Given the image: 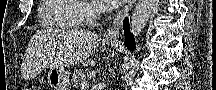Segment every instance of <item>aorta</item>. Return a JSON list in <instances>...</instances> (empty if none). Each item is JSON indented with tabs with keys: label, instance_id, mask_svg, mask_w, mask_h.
<instances>
[{
	"label": "aorta",
	"instance_id": "762f6f07",
	"mask_svg": "<svg viewBox=\"0 0 216 90\" xmlns=\"http://www.w3.org/2000/svg\"><path fill=\"white\" fill-rule=\"evenodd\" d=\"M153 8L154 0H138L137 4H135L130 22V32L134 36L135 42L141 36ZM116 86H119V84H116Z\"/></svg>",
	"mask_w": 216,
	"mask_h": 90
}]
</instances>
